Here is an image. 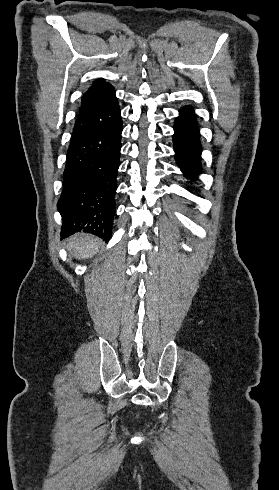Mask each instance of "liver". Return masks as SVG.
I'll use <instances>...</instances> for the list:
<instances>
[{"label":"liver","instance_id":"liver-1","mask_svg":"<svg viewBox=\"0 0 279 490\" xmlns=\"http://www.w3.org/2000/svg\"><path fill=\"white\" fill-rule=\"evenodd\" d=\"M66 248L74 258L88 260L99 252V248H104V242L100 238L89 236V234H75L67 240Z\"/></svg>","mask_w":279,"mask_h":490}]
</instances>
